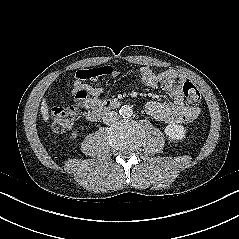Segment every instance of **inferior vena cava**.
<instances>
[{"label": "inferior vena cava", "instance_id": "1", "mask_svg": "<svg viewBox=\"0 0 239 239\" xmlns=\"http://www.w3.org/2000/svg\"><path fill=\"white\" fill-rule=\"evenodd\" d=\"M105 124H111L118 120V113L115 111H108L102 118Z\"/></svg>", "mask_w": 239, "mask_h": 239}]
</instances>
